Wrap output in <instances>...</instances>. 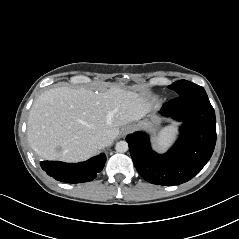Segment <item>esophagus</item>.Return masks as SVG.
Returning a JSON list of instances; mask_svg holds the SVG:
<instances>
[{
  "label": "esophagus",
  "mask_w": 239,
  "mask_h": 239,
  "mask_svg": "<svg viewBox=\"0 0 239 239\" xmlns=\"http://www.w3.org/2000/svg\"><path fill=\"white\" fill-rule=\"evenodd\" d=\"M135 126L134 125H127L122 129V134L127 135L131 133L134 130Z\"/></svg>",
  "instance_id": "esophagus-1"
}]
</instances>
